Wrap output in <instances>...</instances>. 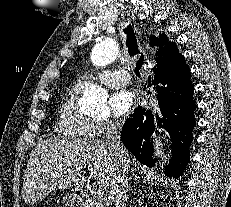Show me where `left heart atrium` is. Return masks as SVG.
Returning <instances> with one entry per match:
<instances>
[{
    "label": "left heart atrium",
    "mask_w": 231,
    "mask_h": 207,
    "mask_svg": "<svg viewBox=\"0 0 231 207\" xmlns=\"http://www.w3.org/2000/svg\"><path fill=\"white\" fill-rule=\"evenodd\" d=\"M134 103V94L127 89H121L112 94L110 107L114 115L122 116L127 113Z\"/></svg>",
    "instance_id": "left-heart-atrium-1"
}]
</instances>
